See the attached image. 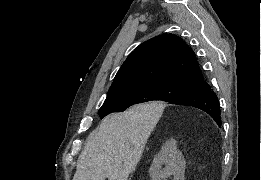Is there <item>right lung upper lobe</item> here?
Here are the masks:
<instances>
[{
  "label": "right lung upper lobe",
  "instance_id": "obj_1",
  "mask_svg": "<svg viewBox=\"0 0 261 180\" xmlns=\"http://www.w3.org/2000/svg\"><path fill=\"white\" fill-rule=\"evenodd\" d=\"M159 80L204 82L193 50L176 35L162 34L139 45L120 67L109 92Z\"/></svg>",
  "mask_w": 261,
  "mask_h": 180
}]
</instances>
